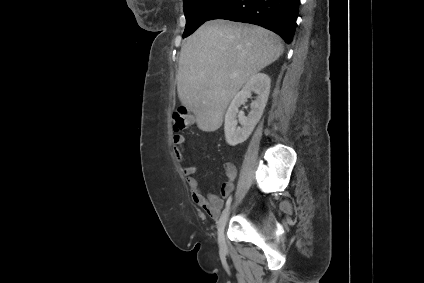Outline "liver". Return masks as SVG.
Instances as JSON below:
<instances>
[{
    "instance_id": "liver-1",
    "label": "liver",
    "mask_w": 424,
    "mask_h": 283,
    "mask_svg": "<svg viewBox=\"0 0 424 283\" xmlns=\"http://www.w3.org/2000/svg\"><path fill=\"white\" fill-rule=\"evenodd\" d=\"M284 51L278 35L259 25L223 19L204 23L181 48L178 97L205 132L220 128L229 103L253 75Z\"/></svg>"
}]
</instances>
